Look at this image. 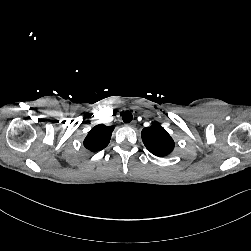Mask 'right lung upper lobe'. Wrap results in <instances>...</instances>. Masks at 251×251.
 I'll use <instances>...</instances> for the list:
<instances>
[{
  "instance_id": "1",
  "label": "right lung upper lobe",
  "mask_w": 251,
  "mask_h": 251,
  "mask_svg": "<svg viewBox=\"0 0 251 251\" xmlns=\"http://www.w3.org/2000/svg\"><path fill=\"white\" fill-rule=\"evenodd\" d=\"M113 126L99 124L93 127L84 140V146L91 152H97L104 149L110 142Z\"/></svg>"
}]
</instances>
